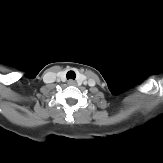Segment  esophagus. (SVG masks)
<instances>
[{
	"label": "esophagus",
	"mask_w": 163,
	"mask_h": 163,
	"mask_svg": "<svg viewBox=\"0 0 163 163\" xmlns=\"http://www.w3.org/2000/svg\"><path fill=\"white\" fill-rule=\"evenodd\" d=\"M76 83H75V81L74 80H69L68 81V85H75Z\"/></svg>",
	"instance_id": "esophagus-1"
}]
</instances>
